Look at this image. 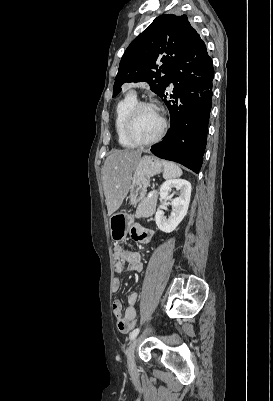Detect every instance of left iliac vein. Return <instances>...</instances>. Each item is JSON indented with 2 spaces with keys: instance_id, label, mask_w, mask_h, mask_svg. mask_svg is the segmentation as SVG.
I'll return each mask as SVG.
<instances>
[{
  "instance_id": "4c4485c4",
  "label": "left iliac vein",
  "mask_w": 273,
  "mask_h": 401,
  "mask_svg": "<svg viewBox=\"0 0 273 401\" xmlns=\"http://www.w3.org/2000/svg\"><path fill=\"white\" fill-rule=\"evenodd\" d=\"M139 338H135L130 346L127 349V362H128V368L131 374H134L137 372V367H136V363H135V349L136 346L138 344Z\"/></svg>"
}]
</instances>
